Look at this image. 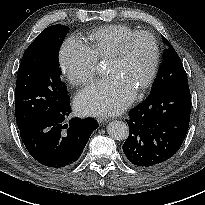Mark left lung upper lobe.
<instances>
[{
  "mask_svg": "<svg viewBox=\"0 0 205 205\" xmlns=\"http://www.w3.org/2000/svg\"><path fill=\"white\" fill-rule=\"evenodd\" d=\"M163 41L167 48L165 49L163 61L153 83L151 93L166 90L177 81L187 79V74L178 54L166 38L163 37Z\"/></svg>",
  "mask_w": 205,
  "mask_h": 205,
  "instance_id": "5c2ea615",
  "label": "left lung upper lobe"
}]
</instances>
